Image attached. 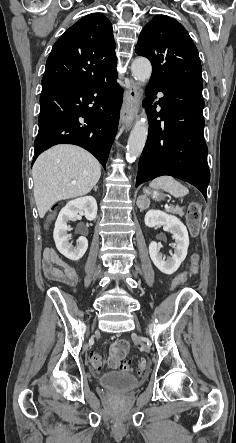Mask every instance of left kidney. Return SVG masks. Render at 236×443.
<instances>
[{
  "mask_svg": "<svg viewBox=\"0 0 236 443\" xmlns=\"http://www.w3.org/2000/svg\"><path fill=\"white\" fill-rule=\"evenodd\" d=\"M145 225L153 228L165 226L175 239V250L171 257L165 259L155 241L149 245V254L154 265L164 274H173L185 260L189 246V236L186 226L175 216L160 210H149L145 215Z\"/></svg>",
  "mask_w": 236,
  "mask_h": 443,
  "instance_id": "5707ae66",
  "label": "left kidney"
}]
</instances>
